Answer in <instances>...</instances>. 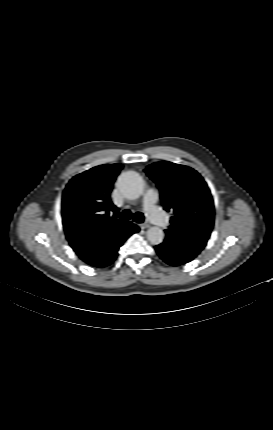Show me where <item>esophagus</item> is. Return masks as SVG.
I'll return each mask as SVG.
<instances>
[{
  "mask_svg": "<svg viewBox=\"0 0 273 430\" xmlns=\"http://www.w3.org/2000/svg\"><path fill=\"white\" fill-rule=\"evenodd\" d=\"M140 226H141L142 229H146V228L150 227V225L148 223H143Z\"/></svg>",
  "mask_w": 273,
  "mask_h": 430,
  "instance_id": "1",
  "label": "esophagus"
}]
</instances>
